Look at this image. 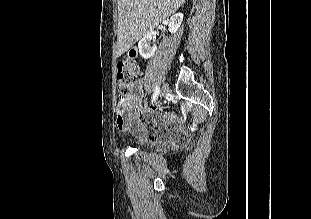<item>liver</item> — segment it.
Masks as SVG:
<instances>
[{"label":"liver","instance_id":"obj_1","mask_svg":"<svg viewBox=\"0 0 311 219\" xmlns=\"http://www.w3.org/2000/svg\"><path fill=\"white\" fill-rule=\"evenodd\" d=\"M185 0H118L117 56L175 13Z\"/></svg>","mask_w":311,"mask_h":219}]
</instances>
